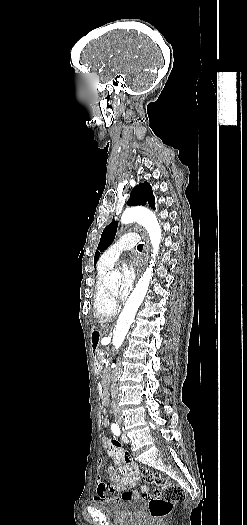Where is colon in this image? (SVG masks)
<instances>
[{"mask_svg":"<svg viewBox=\"0 0 247 525\" xmlns=\"http://www.w3.org/2000/svg\"><path fill=\"white\" fill-rule=\"evenodd\" d=\"M96 424V430L101 432L103 431V427L106 426L107 421L105 418L100 417L97 419ZM141 477L145 483L159 486V489L148 497V505L153 518H167L173 504L185 500V490L182 487L172 484L167 477L149 470L143 471Z\"/></svg>","mask_w":247,"mask_h":525,"instance_id":"obj_1","label":"colon"}]
</instances>
